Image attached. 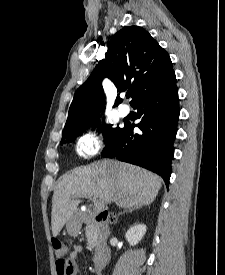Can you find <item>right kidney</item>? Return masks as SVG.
<instances>
[{
    "instance_id": "1",
    "label": "right kidney",
    "mask_w": 225,
    "mask_h": 275,
    "mask_svg": "<svg viewBox=\"0 0 225 275\" xmlns=\"http://www.w3.org/2000/svg\"><path fill=\"white\" fill-rule=\"evenodd\" d=\"M146 233V226L144 224H137L131 227L125 234L128 243L135 246Z\"/></svg>"
}]
</instances>
